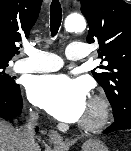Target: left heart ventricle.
<instances>
[{"instance_id":"obj_1","label":"left heart ventricle","mask_w":131,"mask_h":151,"mask_svg":"<svg viewBox=\"0 0 131 151\" xmlns=\"http://www.w3.org/2000/svg\"><path fill=\"white\" fill-rule=\"evenodd\" d=\"M91 114H92V109L90 108L89 104H87V107H86L85 113L83 115V118L88 117Z\"/></svg>"}]
</instances>
